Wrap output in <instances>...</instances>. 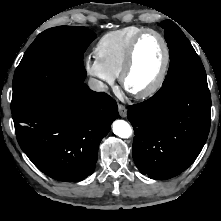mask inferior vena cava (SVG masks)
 <instances>
[{"instance_id":"602c4592","label":"inferior vena cava","mask_w":221,"mask_h":221,"mask_svg":"<svg viewBox=\"0 0 221 221\" xmlns=\"http://www.w3.org/2000/svg\"><path fill=\"white\" fill-rule=\"evenodd\" d=\"M88 85L91 90L96 91V92L108 90V86L106 84H104L102 81L97 80L95 78H90L88 81Z\"/></svg>"}]
</instances>
